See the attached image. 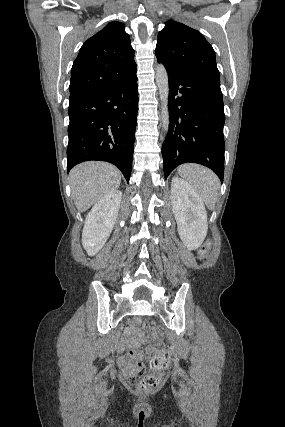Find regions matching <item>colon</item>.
<instances>
[{
  "mask_svg": "<svg viewBox=\"0 0 285 427\" xmlns=\"http://www.w3.org/2000/svg\"><path fill=\"white\" fill-rule=\"evenodd\" d=\"M211 249V243L206 242L200 249L199 255L201 259H205ZM127 355L130 357H136L137 353L132 350H127ZM170 354L164 348H158L151 360L150 369L151 372H146L144 364L140 361L132 362V375L129 378V384L132 388L137 390L150 392L153 391L160 383L158 373L163 371L169 366Z\"/></svg>",
  "mask_w": 285,
  "mask_h": 427,
  "instance_id": "colon-1",
  "label": "colon"
}]
</instances>
